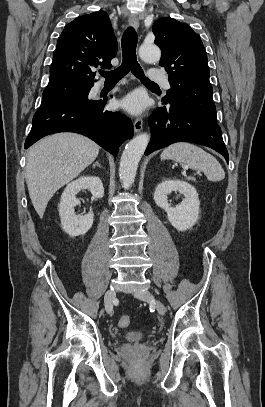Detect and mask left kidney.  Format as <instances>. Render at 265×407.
I'll use <instances>...</instances> for the list:
<instances>
[{
	"instance_id": "obj_1",
	"label": "left kidney",
	"mask_w": 265,
	"mask_h": 407,
	"mask_svg": "<svg viewBox=\"0 0 265 407\" xmlns=\"http://www.w3.org/2000/svg\"><path fill=\"white\" fill-rule=\"evenodd\" d=\"M178 191L184 195L183 201L176 207L168 203V195ZM156 205L166 211L171 225L178 231H186L193 227L199 217L200 202L194 186L186 181L167 179L160 183L154 192Z\"/></svg>"
}]
</instances>
